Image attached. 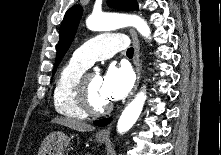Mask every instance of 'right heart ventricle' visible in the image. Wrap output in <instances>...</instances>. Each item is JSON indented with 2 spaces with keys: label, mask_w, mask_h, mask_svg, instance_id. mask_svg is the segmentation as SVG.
<instances>
[{
  "label": "right heart ventricle",
  "mask_w": 221,
  "mask_h": 155,
  "mask_svg": "<svg viewBox=\"0 0 221 155\" xmlns=\"http://www.w3.org/2000/svg\"><path fill=\"white\" fill-rule=\"evenodd\" d=\"M89 66L72 58L60 70L54 87L53 102L58 113L69 118L84 119L87 114L75 98V86Z\"/></svg>",
  "instance_id": "obj_1"
}]
</instances>
